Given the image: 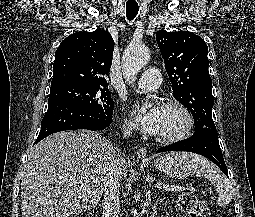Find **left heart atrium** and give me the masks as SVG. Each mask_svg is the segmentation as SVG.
I'll use <instances>...</instances> for the list:
<instances>
[{
	"label": "left heart atrium",
	"instance_id": "39dd6f15",
	"mask_svg": "<svg viewBox=\"0 0 255 217\" xmlns=\"http://www.w3.org/2000/svg\"><path fill=\"white\" fill-rule=\"evenodd\" d=\"M162 112L163 108L159 105H154L147 111H142L138 105L132 108V114L141 131L150 135L158 134L162 120Z\"/></svg>",
	"mask_w": 255,
	"mask_h": 217
}]
</instances>
